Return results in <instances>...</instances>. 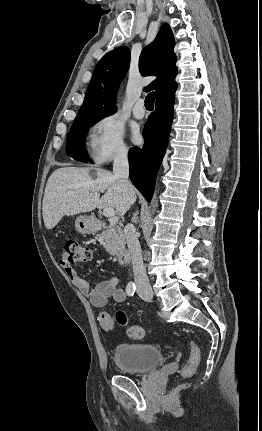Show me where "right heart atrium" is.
Wrapping results in <instances>:
<instances>
[{"label": "right heart atrium", "mask_w": 262, "mask_h": 431, "mask_svg": "<svg viewBox=\"0 0 262 431\" xmlns=\"http://www.w3.org/2000/svg\"><path fill=\"white\" fill-rule=\"evenodd\" d=\"M90 155L98 163L107 162L128 153L122 122L108 114L97 120L90 132Z\"/></svg>", "instance_id": "d8ad5b80"}]
</instances>
